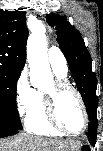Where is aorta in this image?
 Segmentation results:
<instances>
[{"instance_id":"aorta-1","label":"aorta","mask_w":103,"mask_h":151,"mask_svg":"<svg viewBox=\"0 0 103 151\" xmlns=\"http://www.w3.org/2000/svg\"><path fill=\"white\" fill-rule=\"evenodd\" d=\"M46 29L41 22H35L27 41V60L31 77L37 80L51 77L47 56Z\"/></svg>"}]
</instances>
